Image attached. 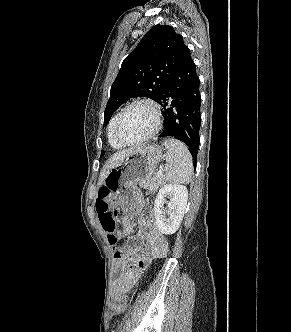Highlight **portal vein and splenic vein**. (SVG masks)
<instances>
[{"mask_svg":"<svg viewBox=\"0 0 291 332\" xmlns=\"http://www.w3.org/2000/svg\"><path fill=\"white\" fill-rule=\"evenodd\" d=\"M167 170V168H160L159 171L156 173L157 177H161L163 176V172Z\"/></svg>","mask_w":291,"mask_h":332,"instance_id":"portal-vein-and-splenic-vein-1","label":"portal vein and splenic vein"}]
</instances>
